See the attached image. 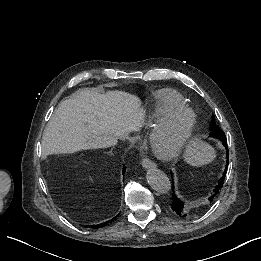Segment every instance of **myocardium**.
<instances>
[{
  "mask_svg": "<svg viewBox=\"0 0 261 261\" xmlns=\"http://www.w3.org/2000/svg\"><path fill=\"white\" fill-rule=\"evenodd\" d=\"M175 114H183L186 116V126H185L181 143L177 148L169 152H157L152 150L148 145V138L151 133V130L158 123ZM195 124H196V114L191 108L186 106L170 107L158 114H154L149 117H146L142 121V125L140 128V136L151 156L161 160H172L181 156L187 149L189 141L192 137Z\"/></svg>",
  "mask_w": 261,
  "mask_h": 261,
  "instance_id": "myocardium-1",
  "label": "myocardium"
}]
</instances>
